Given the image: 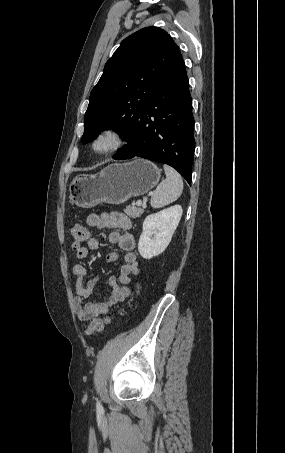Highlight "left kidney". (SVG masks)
<instances>
[{"instance_id": "5707ae66", "label": "left kidney", "mask_w": 285, "mask_h": 453, "mask_svg": "<svg viewBox=\"0 0 285 453\" xmlns=\"http://www.w3.org/2000/svg\"><path fill=\"white\" fill-rule=\"evenodd\" d=\"M182 213V207L174 205L145 218L143 232L138 242V251L143 258L151 259L167 248Z\"/></svg>"}]
</instances>
